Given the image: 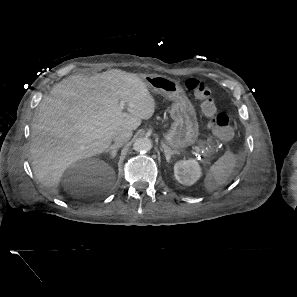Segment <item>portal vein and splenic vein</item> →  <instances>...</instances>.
I'll use <instances>...</instances> for the list:
<instances>
[{
	"mask_svg": "<svg viewBox=\"0 0 297 297\" xmlns=\"http://www.w3.org/2000/svg\"><path fill=\"white\" fill-rule=\"evenodd\" d=\"M120 107H121V109L124 108V102H121ZM194 149H195V151H196L197 153H204V151H202V150H201L199 147H197V146H195Z\"/></svg>",
	"mask_w": 297,
	"mask_h": 297,
	"instance_id": "1",
	"label": "portal vein and splenic vein"
}]
</instances>
